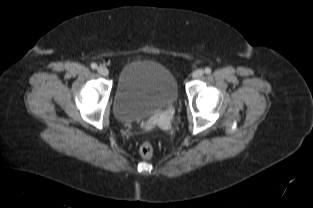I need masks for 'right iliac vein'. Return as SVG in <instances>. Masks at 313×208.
<instances>
[{
	"instance_id": "63e3f726",
	"label": "right iliac vein",
	"mask_w": 313,
	"mask_h": 208,
	"mask_svg": "<svg viewBox=\"0 0 313 208\" xmlns=\"http://www.w3.org/2000/svg\"><path fill=\"white\" fill-rule=\"evenodd\" d=\"M98 72H99V74H101L102 76H105V77L108 76V74H109L108 69L104 66H100L98 68Z\"/></svg>"
}]
</instances>
